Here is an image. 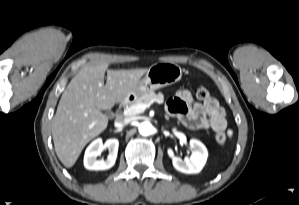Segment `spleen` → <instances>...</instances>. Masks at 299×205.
Listing matches in <instances>:
<instances>
[{
    "mask_svg": "<svg viewBox=\"0 0 299 205\" xmlns=\"http://www.w3.org/2000/svg\"><path fill=\"white\" fill-rule=\"evenodd\" d=\"M232 134H233L232 130H229V131H228V135L231 137Z\"/></svg>",
    "mask_w": 299,
    "mask_h": 205,
    "instance_id": "1",
    "label": "spleen"
}]
</instances>
